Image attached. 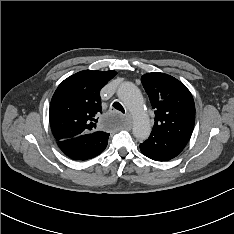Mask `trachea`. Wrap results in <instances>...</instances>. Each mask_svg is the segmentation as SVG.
<instances>
[{
  "instance_id": "trachea-1",
  "label": "trachea",
  "mask_w": 234,
  "mask_h": 234,
  "mask_svg": "<svg viewBox=\"0 0 234 234\" xmlns=\"http://www.w3.org/2000/svg\"><path fill=\"white\" fill-rule=\"evenodd\" d=\"M113 107H114L116 110H118V111H120V112H122V113H125V110H124L123 106H122L119 102H114V103H113Z\"/></svg>"
}]
</instances>
